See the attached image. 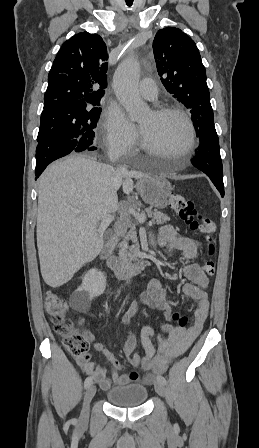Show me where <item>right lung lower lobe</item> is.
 I'll list each match as a JSON object with an SVG mask.
<instances>
[{
	"label": "right lung lower lobe",
	"instance_id": "right-lung-lower-lobe-1",
	"mask_svg": "<svg viewBox=\"0 0 259 448\" xmlns=\"http://www.w3.org/2000/svg\"><path fill=\"white\" fill-rule=\"evenodd\" d=\"M97 147L91 146L86 150H96ZM81 152L78 149V141L72 140H50L38 143L36 148V169L35 175L38 178L52 161L66 156L70 153Z\"/></svg>",
	"mask_w": 259,
	"mask_h": 448
}]
</instances>
